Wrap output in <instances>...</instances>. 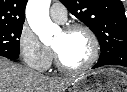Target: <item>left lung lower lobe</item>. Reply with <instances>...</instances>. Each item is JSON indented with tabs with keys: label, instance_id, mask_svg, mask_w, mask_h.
I'll use <instances>...</instances> for the list:
<instances>
[{
	"label": "left lung lower lobe",
	"instance_id": "obj_1",
	"mask_svg": "<svg viewBox=\"0 0 127 92\" xmlns=\"http://www.w3.org/2000/svg\"><path fill=\"white\" fill-rule=\"evenodd\" d=\"M104 65H121L127 67V46L115 47L106 55L100 56L97 64L92 69Z\"/></svg>",
	"mask_w": 127,
	"mask_h": 92
}]
</instances>
